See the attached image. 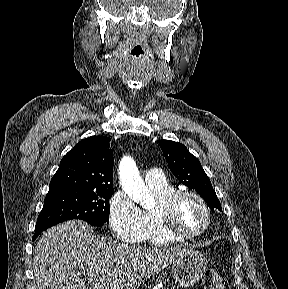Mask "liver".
<instances>
[{"label":"liver","instance_id":"obj_1","mask_svg":"<svg viewBox=\"0 0 288 289\" xmlns=\"http://www.w3.org/2000/svg\"><path fill=\"white\" fill-rule=\"evenodd\" d=\"M184 248L131 246L94 236L90 225L70 220L43 233L34 250L37 289H89L75 272L97 279L102 289H138L143 279L188 254Z\"/></svg>","mask_w":288,"mask_h":289}]
</instances>
